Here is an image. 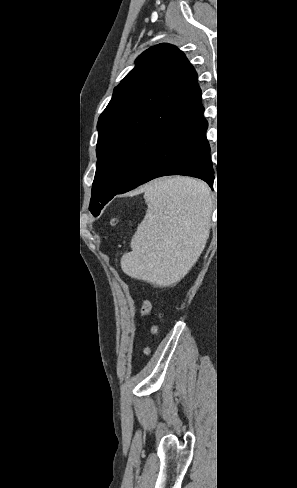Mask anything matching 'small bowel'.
I'll return each instance as SVG.
<instances>
[{
    "mask_svg": "<svg viewBox=\"0 0 297 488\" xmlns=\"http://www.w3.org/2000/svg\"><path fill=\"white\" fill-rule=\"evenodd\" d=\"M150 307H151V306H150V303H149V302H145V303H144V305H143V307H142V311H143V313H147V312H149Z\"/></svg>",
    "mask_w": 297,
    "mask_h": 488,
    "instance_id": "obj_1",
    "label": "small bowel"
}]
</instances>
